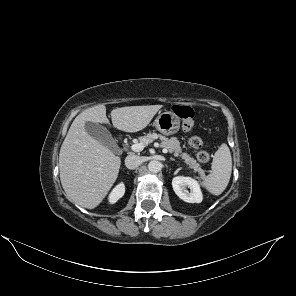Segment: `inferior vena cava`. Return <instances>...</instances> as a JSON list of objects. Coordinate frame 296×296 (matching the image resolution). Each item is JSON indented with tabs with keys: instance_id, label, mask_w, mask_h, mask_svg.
Wrapping results in <instances>:
<instances>
[{
	"instance_id": "1",
	"label": "inferior vena cava",
	"mask_w": 296,
	"mask_h": 296,
	"mask_svg": "<svg viewBox=\"0 0 296 296\" xmlns=\"http://www.w3.org/2000/svg\"><path fill=\"white\" fill-rule=\"evenodd\" d=\"M141 164V158L137 155H128L125 158V165L128 169H135Z\"/></svg>"
}]
</instances>
